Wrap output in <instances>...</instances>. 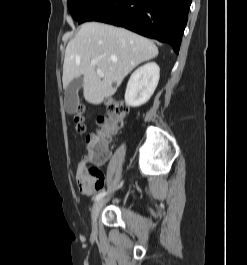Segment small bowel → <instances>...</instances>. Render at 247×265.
Instances as JSON below:
<instances>
[{
  "instance_id": "c3829d8e",
  "label": "small bowel",
  "mask_w": 247,
  "mask_h": 265,
  "mask_svg": "<svg viewBox=\"0 0 247 265\" xmlns=\"http://www.w3.org/2000/svg\"><path fill=\"white\" fill-rule=\"evenodd\" d=\"M75 182L84 195L91 196L101 190L104 186V176H91L89 175L81 163L75 173Z\"/></svg>"
}]
</instances>
